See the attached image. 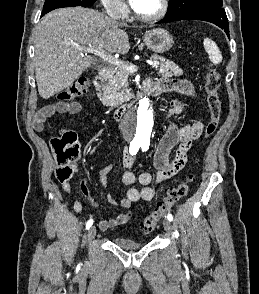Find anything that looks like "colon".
Segmentation results:
<instances>
[{"instance_id":"obj_1","label":"colon","mask_w":259,"mask_h":294,"mask_svg":"<svg viewBox=\"0 0 259 294\" xmlns=\"http://www.w3.org/2000/svg\"><path fill=\"white\" fill-rule=\"evenodd\" d=\"M89 85L86 77H81L72 85L62 90L57 98L59 101L69 102L85 93ZM221 76L215 65H210L205 78V92L210 119L205 127V138L211 137L217 130L221 118V101L219 88ZM54 155L57 160L56 176L59 181H68L75 172V164L79 158V146L76 134L72 131H64L60 136L51 141ZM192 175H189L179 185L170 188L157 207L142 221L143 234H150L158 226L167 212L183 197L188 194Z\"/></svg>"}]
</instances>
